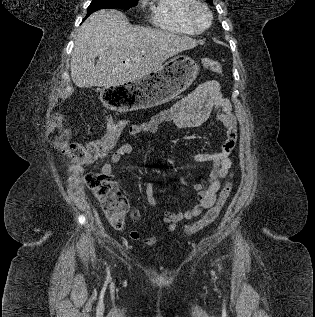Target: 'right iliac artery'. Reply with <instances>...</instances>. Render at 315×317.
<instances>
[{
    "label": "right iliac artery",
    "mask_w": 315,
    "mask_h": 317,
    "mask_svg": "<svg viewBox=\"0 0 315 317\" xmlns=\"http://www.w3.org/2000/svg\"><path fill=\"white\" fill-rule=\"evenodd\" d=\"M106 272H107V274H109V268H107Z\"/></svg>",
    "instance_id": "obj_1"
}]
</instances>
